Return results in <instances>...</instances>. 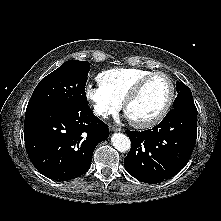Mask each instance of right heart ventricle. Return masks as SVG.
<instances>
[{"label":"right heart ventricle","mask_w":221,"mask_h":221,"mask_svg":"<svg viewBox=\"0 0 221 221\" xmlns=\"http://www.w3.org/2000/svg\"><path fill=\"white\" fill-rule=\"evenodd\" d=\"M151 72L143 68H113L101 72L97 80L113 98L122 103L133 86Z\"/></svg>","instance_id":"right-heart-ventricle-1"}]
</instances>
